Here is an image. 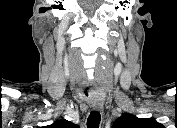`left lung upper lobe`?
<instances>
[{"mask_svg": "<svg viewBox=\"0 0 177 128\" xmlns=\"http://www.w3.org/2000/svg\"><path fill=\"white\" fill-rule=\"evenodd\" d=\"M160 124L153 118L141 119L134 115L127 114L115 120L113 128H156Z\"/></svg>", "mask_w": 177, "mask_h": 128, "instance_id": "left-lung-upper-lobe-1", "label": "left lung upper lobe"}]
</instances>
